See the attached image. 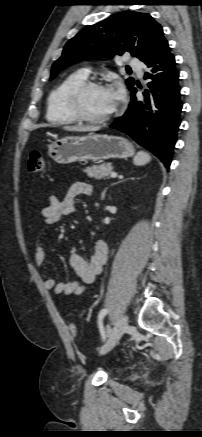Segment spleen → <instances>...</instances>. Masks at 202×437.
Here are the masks:
<instances>
[{
  "label": "spleen",
  "instance_id": "obj_1",
  "mask_svg": "<svg viewBox=\"0 0 202 437\" xmlns=\"http://www.w3.org/2000/svg\"><path fill=\"white\" fill-rule=\"evenodd\" d=\"M151 161V156L144 151H140L134 158V164L136 166H144Z\"/></svg>",
  "mask_w": 202,
  "mask_h": 437
}]
</instances>
